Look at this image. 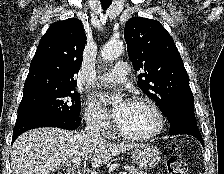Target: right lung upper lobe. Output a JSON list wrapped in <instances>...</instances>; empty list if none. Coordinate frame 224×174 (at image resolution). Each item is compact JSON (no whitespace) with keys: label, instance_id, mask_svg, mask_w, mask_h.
<instances>
[{"label":"right lung upper lobe","instance_id":"cb5924a9","mask_svg":"<svg viewBox=\"0 0 224 174\" xmlns=\"http://www.w3.org/2000/svg\"><path fill=\"white\" fill-rule=\"evenodd\" d=\"M86 35L81 21L53 23L42 37L31 61L23 94L43 89L75 88Z\"/></svg>","mask_w":224,"mask_h":174}]
</instances>
